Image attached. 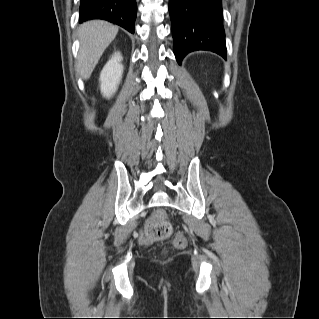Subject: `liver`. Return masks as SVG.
I'll use <instances>...</instances> for the list:
<instances>
[{"label":"liver","mask_w":319,"mask_h":319,"mask_svg":"<svg viewBox=\"0 0 319 319\" xmlns=\"http://www.w3.org/2000/svg\"><path fill=\"white\" fill-rule=\"evenodd\" d=\"M117 33V26L102 20L88 21L80 26L77 68L83 79L87 80L91 76L103 52Z\"/></svg>","instance_id":"liver-1"}]
</instances>
